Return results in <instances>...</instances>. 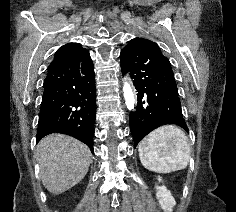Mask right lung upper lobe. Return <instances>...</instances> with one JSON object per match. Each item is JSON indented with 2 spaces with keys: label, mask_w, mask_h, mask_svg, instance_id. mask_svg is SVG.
Returning <instances> with one entry per match:
<instances>
[{
  "label": "right lung upper lobe",
  "mask_w": 236,
  "mask_h": 212,
  "mask_svg": "<svg viewBox=\"0 0 236 212\" xmlns=\"http://www.w3.org/2000/svg\"><path fill=\"white\" fill-rule=\"evenodd\" d=\"M80 45L78 43H68L61 48L58 49V51L55 53L54 59L59 58L61 56H64L71 52L72 50L76 49Z\"/></svg>",
  "instance_id": "right-lung-upper-lobe-1"
}]
</instances>
